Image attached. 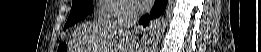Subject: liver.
<instances>
[{
	"label": "liver",
	"mask_w": 261,
	"mask_h": 52,
	"mask_svg": "<svg viewBox=\"0 0 261 52\" xmlns=\"http://www.w3.org/2000/svg\"><path fill=\"white\" fill-rule=\"evenodd\" d=\"M126 35L117 22L110 19H99L84 25L78 31L84 52H109L115 38L119 39L115 45L119 51L111 52H133V41L127 39Z\"/></svg>",
	"instance_id": "6515ba94"
}]
</instances>
